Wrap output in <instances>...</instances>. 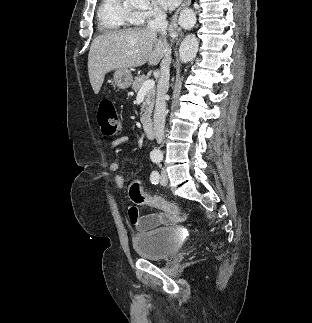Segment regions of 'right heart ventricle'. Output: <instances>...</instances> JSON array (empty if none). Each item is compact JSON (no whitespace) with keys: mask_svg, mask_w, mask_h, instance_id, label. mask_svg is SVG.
Wrapping results in <instances>:
<instances>
[{"mask_svg":"<svg viewBox=\"0 0 312 323\" xmlns=\"http://www.w3.org/2000/svg\"><path fill=\"white\" fill-rule=\"evenodd\" d=\"M140 15L131 5H122V0H100L95 7L94 20H100L105 29H128L136 25Z\"/></svg>","mask_w":312,"mask_h":323,"instance_id":"1","label":"right heart ventricle"}]
</instances>
